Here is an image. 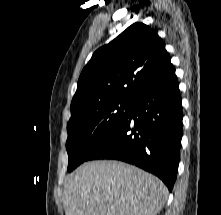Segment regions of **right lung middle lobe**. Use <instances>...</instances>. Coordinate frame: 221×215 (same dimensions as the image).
I'll list each match as a JSON object with an SVG mask.
<instances>
[{
	"mask_svg": "<svg viewBox=\"0 0 221 215\" xmlns=\"http://www.w3.org/2000/svg\"><path fill=\"white\" fill-rule=\"evenodd\" d=\"M133 100L110 99L71 107L67 124L68 172L87 160L130 112Z\"/></svg>",
	"mask_w": 221,
	"mask_h": 215,
	"instance_id": "dd1d6c3e",
	"label": "right lung middle lobe"
}]
</instances>
